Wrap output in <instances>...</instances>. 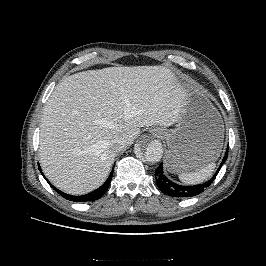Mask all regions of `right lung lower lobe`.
Segmentation results:
<instances>
[{
  "label": "right lung lower lobe",
  "mask_w": 266,
  "mask_h": 266,
  "mask_svg": "<svg viewBox=\"0 0 266 266\" xmlns=\"http://www.w3.org/2000/svg\"><path fill=\"white\" fill-rule=\"evenodd\" d=\"M39 170L41 171V168L39 166ZM42 173V172H41ZM112 174H113V170L110 173L108 179L106 180V182L99 187L98 189H96L95 191L86 194V195H82V196H72V195H68L66 193L61 192L60 190H58L57 188H55L47 179V182L49 183V185L56 191L58 192L61 196H63L65 199L70 200V201H74V202H82V201H92V200H97L99 199L101 196H103V194L107 191L110 183H111V179H112ZM43 175V173H42Z\"/></svg>",
  "instance_id": "obj_1"
}]
</instances>
